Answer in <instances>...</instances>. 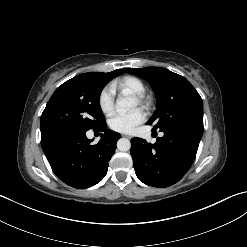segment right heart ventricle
Returning a JSON list of instances; mask_svg holds the SVG:
<instances>
[{"label": "right heart ventricle", "mask_w": 247, "mask_h": 247, "mask_svg": "<svg viewBox=\"0 0 247 247\" xmlns=\"http://www.w3.org/2000/svg\"><path fill=\"white\" fill-rule=\"evenodd\" d=\"M116 87L122 92H128L132 95H144L146 91L143 81L135 76H125L118 81Z\"/></svg>", "instance_id": "right-heart-ventricle-1"}]
</instances>
